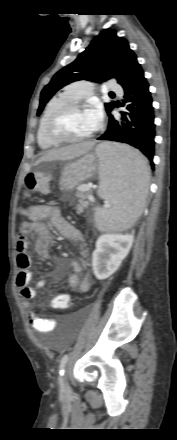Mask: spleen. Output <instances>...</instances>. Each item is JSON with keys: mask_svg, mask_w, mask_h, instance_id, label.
Instances as JSON below:
<instances>
[{"mask_svg": "<svg viewBox=\"0 0 177 440\" xmlns=\"http://www.w3.org/2000/svg\"><path fill=\"white\" fill-rule=\"evenodd\" d=\"M99 157V195L110 202L109 210L95 209L96 226L102 230L131 227L142 214L148 190L150 168L137 150L109 142L96 148Z\"/></svg>", "mask_w": 177, "mask_h": 440, "instance_id": "spleen-1", "label": "spleen"}]
</instances>
